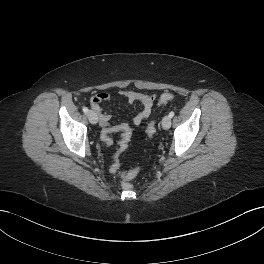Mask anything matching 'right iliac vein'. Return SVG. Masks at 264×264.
<instances>
[{
    "mask_svg": "<svg viewBox=\"0 0 264 264\" xmlns=\"http://www.w3.org/2000/svg\"><path fill=\"white\" fill-rule=\"evenodd\" d=\"M87 117H88L90 123H92V124H96L98 122L97 115L92 110L87 113Z\"/></svg>",
    "mask_w": 264,
    "mask_h": 264,
    "instance_id": "obj_1",
    "label": "right iliac vein"
}]
</instances>
